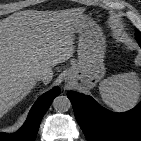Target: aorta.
<instances>
[{"mask_svg":"<svg viewBox=\"0 0 141 141\" xmlns=\"http://www.w3.org/2000/svg\"><path fill=\"white\" fill-rule=\"evenodd\" d=\"M53 107L57 112H67L71 108V102L67 96H57L53 101Z\"/></svg>","mask_w":141,"mask_h":141,"instance_id":"762f6f07","label":"aorta"}]
</instances>
